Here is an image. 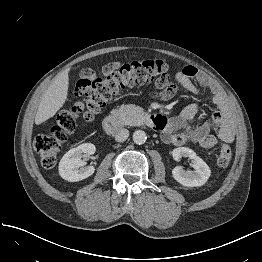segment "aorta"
<instances>
[{
  "label": "aorta",
  "mask_w": 262,
  "mask_h": 262,
  "mask_svg": "<svg viewBox=\"0 0 262 262\" xmlns=\"http://www.w3.org/2000/svg\"><path fill=\"white\" fill-rule=\"evenodd\" d=\"M146 140H147V135L144 131L136 130L133 133V141L135 144L142 145L146 142Z\"/></svg>",
  "instance_id": "aorta-1"
}]
</instances>
